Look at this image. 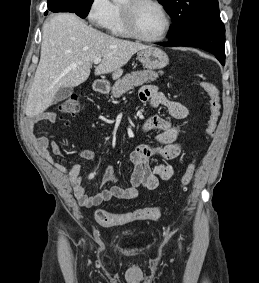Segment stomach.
Returning <instances> with one entry per match:
<instances>
[{
    "instance_id": "stomach-1",
    "label": "stomach",
    "mask_w": 259,
    "mask_h": 283,
    "mask_svg": "<svg viewBox=\"0 0 259 283\" xmlns=\"http://www.w3.org/2000/svg\"><path fill=\"white\" fill-rule=\"evenodd\" d=\"M137 58L147 69H161L169 62V58L163 50L152 46L140 50Z\"/></svg>"
}]
</instances>
